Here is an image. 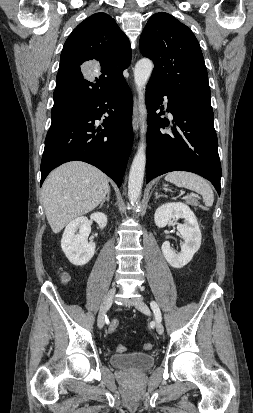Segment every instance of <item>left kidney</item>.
<instances>
[{"instance_id": "obj_1", "label": "left kidney", "mask_w": 253, "mask_h": 413, "mask_svg": "<svg viewBox=\"0 0 253 413\" xmlns=\"http://www.w3.org/2000/svg\"><path fill=\"white\" fill-rule=\"evenodd\" d=\"M183 218L184 223L177 225V230L184 239L181 251L176 253L170 245V242H163L162 253L173 268L180 269L187 265L199 250L201 245V231L196 216L191 209L182 202L165 203L157 208L154 220L159 228L165 227L172 220Z\"/></svg>"}]
</instances>
